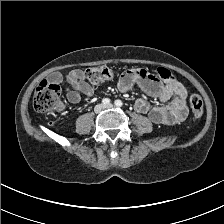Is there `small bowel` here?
I'll return each mask as SVG.
<instances>
[{"mask_svg":"<svg viewBox=\"0 0 224 224\" xmlns=\"http://www.w3.org/2000/svg\"><path fill=\"white\" fill-rule=\"evenodd\" d=\"M50 81L55 84H67L66 97L70 103H78L82 96L90 97L94 93L93 87L85 81L80 69L70 70L65 76L54 73ZM135 85L160 102V105H151L147 100L139 98L135 102L137 112L147 115L155 124L173 125L184 120L189 91L181 82L172 80L161 84L149 72L141 69L125 71L118 81V89L124 93L131 91Z\"/></svg>","mask_w":224,"mask_h":224,"instance_id":"small-bowel-1","label":"small bowel"}]
</instances>
